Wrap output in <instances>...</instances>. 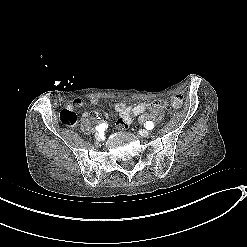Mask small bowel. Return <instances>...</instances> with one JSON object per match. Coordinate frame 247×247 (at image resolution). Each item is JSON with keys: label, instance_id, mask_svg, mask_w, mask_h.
Wrapping results in <instances>:
<instances>
[{"label": "small bowel", "instance_id": "small-bowel-1", "mask_svg": "<svg viewBox=\"0 0 247 247\" xmlns=\"http://www.w3.org/2000/svg\"><path fill=\"white\" fill-rule=\"evenodd\" d=\"M182 96L179 94H176L172 96L171 103L174 108H179L182 104ZM91 104L97 105L99 104V98L93 97L90 100ZM85 104V100L83 98H77L74 100L73 104H70L68 108L70 110L82 107ZM114 110L119 114V119L117 122V125L120 129H126L131 123L133 116H140L141 121H147L150 119H159L160 118V111L158 109L154 110L151 113H146L147 110V104L140 103L135 106H127L125 103L118 102L114 105ZM83 118L91 117L92 119L97 118L96 113H83Z\"/></svg>", "mask_w": 247, "mask_h": 247}]
</instances>
